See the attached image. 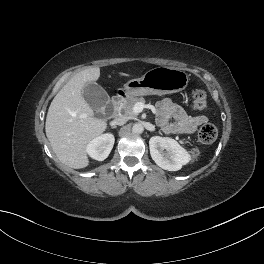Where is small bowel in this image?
Segmentation results:
<instances>
[{"label":"small bowel","instance_id":"c3829d8e","mask_svg":"<svg viewBox=\"0 0 264 264\" xmlns=\"http://www.w3.org/2000/svg\"><path fill=\"white\" fill-rule=\"evenodd\" d=\"M157 122L168 134H193L207 122L204 115L191 116L177 103L163 99L156 106Z\"/></svg>","mask_w":264,"mask_h":264}]
</instances>
